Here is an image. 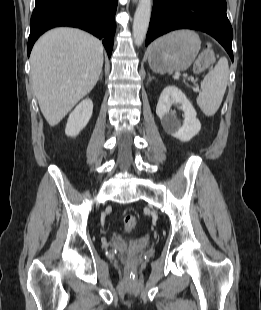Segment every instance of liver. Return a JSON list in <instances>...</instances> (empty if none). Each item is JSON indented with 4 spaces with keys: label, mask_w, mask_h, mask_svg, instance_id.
Instances as JSON below:
<instances>
[{
    "label": "liver",
    "mask_w": 261,
    "mask_h": 310,
    "mask_svg": "<svg viewBox=\"0 0 261 310\" xmlns=\"http://www.w3.org/2000/svg\"><path fill=\"white\" fill-rule=\"evenodd\" d=\"M103 46L80 29L60 27L42 35L30 57L34 94L50 126L57 125L96 85Z\"/></svg>",
    "instance_id": "6515ba94"
}]
</instances>
